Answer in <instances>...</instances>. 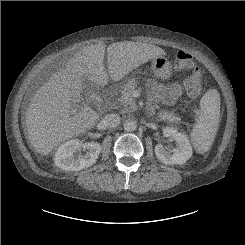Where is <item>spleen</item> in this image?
<instances>
[{"mask_svg":"<svg viewBox=\"0 0 245 245\" xmlns=\"http://www.w3.org/2000/svg\"><path fill=\"white\" fill-rule=\"evenodd\" d=\"M220 95L216 89L208 90L200 100L198 121L191 132V140L200 154L208 151L218 130Z\"/></svg>","mask_w":245,"mask_h":245,"instance_id":"3e777b00","label":"spleen"}]
</instances>
